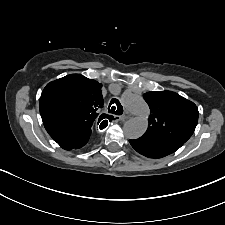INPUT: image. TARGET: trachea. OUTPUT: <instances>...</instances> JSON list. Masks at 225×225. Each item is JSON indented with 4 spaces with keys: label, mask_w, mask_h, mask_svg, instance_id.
I'll return each mask as SVG.
<instances>
[{
    "label": "trachea",
    "mask_w": 225,
    "mask_h": 225,
    "mask_svg": "<svg viewBox=\"0 0 225 225\" xmlns=\"http://www.w3.org/2000/svg\"><path fill=\"white\" fill-rule=\"evenodd\" d=\"M108 112L115 115H122L123 107L117 99H112L108 107Z\"/></svg>",
    "instance_id": "trachea-1"
}]
</instances>
